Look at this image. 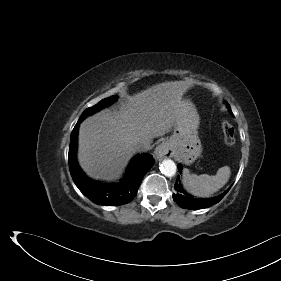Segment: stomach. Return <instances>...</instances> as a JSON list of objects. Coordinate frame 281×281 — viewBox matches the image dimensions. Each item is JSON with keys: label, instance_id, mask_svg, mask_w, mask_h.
Masks as SVG:
<instances>
[{"label": "stomach", "instance_id": "obj_1", "mask_svg": "<svg viewBox=\"0 0 281 281\" xmlns=\"http://www.w3.org/2000/svg\"><path fill=\"white\" fill-rule=\"evenodd\" d=\"M184 114L177 121L173 134L166 141L175 157L186 165L192 164L202 152L198 137L199 115L195 106L187 99L182 100Z\"/></svg>", "mask_w": 281, "mask_h": 281}]
</instances>
